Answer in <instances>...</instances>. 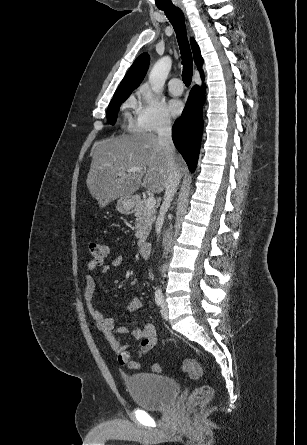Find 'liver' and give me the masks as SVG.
I'll use <instances>...</instances> for the list:
<instances>
[{
	"instance_id": "1",
	"label": "liver",
	"mask_w": 307,
	"mask_h": 445,
	"mask_svg": "<svg viewBox=\"0 0 307 445\" xmlns=\"http://www.w3.org/2000/svg\"><path fill=\"white\" fill-rule=\"evenodd\" d=\"M169 152L158 142L154 132H136L110 136L95 142L92 162L86 178L87 188L104 208L111 200L121 196H132L143 184L152 192H162L168 180L166 160ZM177 170H181L182 160L174 154ZM131 166H140L141 172H125Z\"/></svg>"
}]
</instances>
